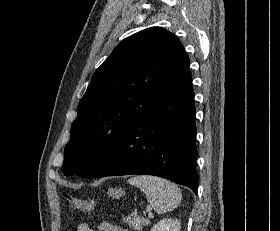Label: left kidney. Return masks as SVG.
<instances>
[{"label": "left kidney", "mask_w": 280, "mask_h": 231, "mask_svg": "<svg viewBox=\"0 0 280 231\" xmlns=\"http://www.w3.org/2000/svg\"><path fill=\"white\" fill-rule=\"evenodd\" d=\"M180 219H161L151 227L150 231H179Z\"/></svg>", "instance_id": "obj_1"}]
</instances>
